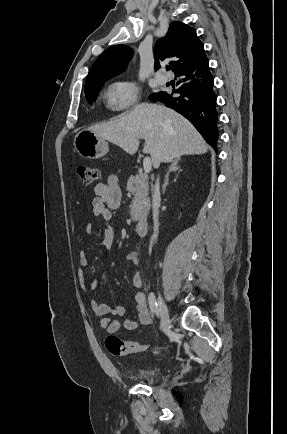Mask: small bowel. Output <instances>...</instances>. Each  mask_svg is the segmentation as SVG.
Wrapping results in <instances>:
<instances>
[{
	"label": "small bowel",
	"mask_w": 287,
	"mask_h": 434,
	"mask_svg": "<svg viewBox=\"0 0 287 434\" xmlns=\"http://www.w3.org/2000/svg\"><path fill=\"white\" fill-rule=\"evenodd\" d=\"M95 197L91 203L92 215L94 217H102L107 221H111L116 210L119 207L121 200V190L118 184V178L115 175H109L106 182L98 183L94 187ZM85 232L87 235H92L95 232V227L92 223L86 225ZM116 238V228L108 223L101 230V245L105 250H109ZM138 254L135 251H130L125 255V261L133 264L138 263ZM90 261L87 255L81 251L79 254V267L77 270V280L82 291H87L85 284L84 269L89 267ZM133 286L138 290L135 294L136 316L134 318H126L121 322L118 318L125 314V307L115 306L111 303H101L96 300L90 301L92 312L102 317L99 320V326L108 333H115L121 325L127 331H134L137 327L148 325L151 323V314L149 312L146 296L141 288L143 286V277L139 271H136L132 278ZM100 285V279L95 277L89 283L90 289H97Z\"/></svg>",
	"instance_id": "obj_1"
}]
</instances>
